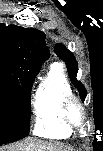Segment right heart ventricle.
<instances>
[{"label": "right heart ventricle", "mask_w": 103, "mask_h": 151, "mask_svg": "<svg viewBox=\"0 0 103 151\" xmlns=\"http://www.w3.org/2000/svg\"><path fill=\"white\" fill-rule=\"evenodd\" d=\"M72 95L62 67L52 63L45 80L37 88L33 98L35 115L34 134L49 139H65L71 129L61 118V104Z\"/></svg>", "instance_id": "1"}]
</instances>
